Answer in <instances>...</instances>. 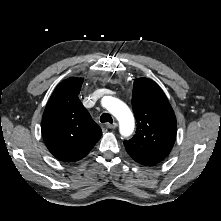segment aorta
<instances>
[{"mask_svg":"<svg viewBox=\"0 0 221 221\" xmlns=\"http://www.w3.org/2000/svg\"><path fill=\"white\" fill-rule=\"evenodd\" d=\"M102 105L113 114L119 121L120 133L129 136L134 130V117L129 107L119 99L106 96L102 100Z\"/></svg>","mask_w":221,"mask_h":221,"instance_id":"obj_1","label":"aorta"}]
</instances>
